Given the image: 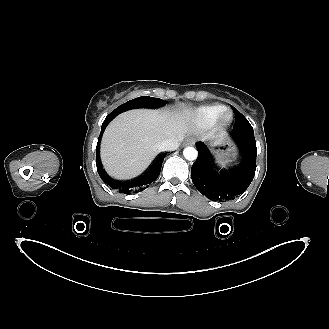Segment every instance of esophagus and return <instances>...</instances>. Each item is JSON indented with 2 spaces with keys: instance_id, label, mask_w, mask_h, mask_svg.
<instances>
[{
  "instance_id": "34e87169",
  "label": "esophagus",
  "mask_w": 329,
  "mask_h": 329,
  "mask_svg": "<svg viewBox=\"0 0 329 329\" xmlns=\"http://www.w3.org/2000/svg\"><path fill=\"white\" fill-rule=\"evenodd\" d=\"M194 143H195L194 140L189 139V140L185 141L184 145L185 146H187V145H194Z\"/></svg>"
}]
</instances>
